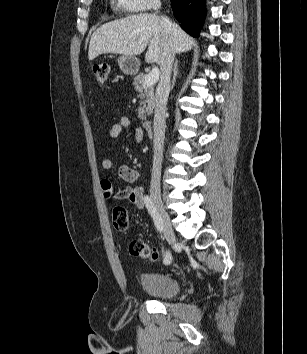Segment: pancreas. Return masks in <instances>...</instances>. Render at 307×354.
Here are the masks:
<instances>
[{
  "label": "pancreas",
  "mask_w": 307,
  "mask_h": 354,
  "mask_svg": "<svg viewBox=\"0 0 307 354\" xmlns=\"http://www.w3.org/2000/svg\"><path fill=\"white\" fill-rule=\"evenodd\" d=\"M147 75L141 73L134 78L133 85L140 97V106L138 108V118L145 120L151 115L154 108V86H145L144 81Z\"/></svg>",
  "instance_id": "cf45deb5"
}]
</instances>
